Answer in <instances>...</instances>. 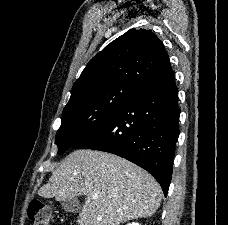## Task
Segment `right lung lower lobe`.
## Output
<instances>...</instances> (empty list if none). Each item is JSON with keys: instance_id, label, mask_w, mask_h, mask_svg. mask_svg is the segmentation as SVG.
Instances as JSON below:
<instances>
[{"instance_id": "obj_1", "label": "right lung lower lobe", "mask_w": 228, "mask_h": 225, "mask_svg": "<svg viewBox=\"0 0 228 225\" xmlns=\"http://www.w3.org/2000/svg\"><path fill=\"white\" fill-rule=\"evenodd\" d=\"M178 90L170 63L72 148L121 156L151 173L164 195L179 135Z\"/></svg>"}]
</instances>
